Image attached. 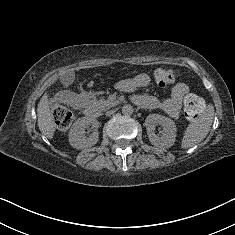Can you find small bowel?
<instances>
[{
	"label": "small bowel",
	"instance_id": "1",
	"mask_svg": "<svg viewBox=\"0 0 235 235\" xmlns=\"http://www.w3.org/2000/svg\"><path fill=\"white\" fill-rule=\"evenodd\" d=\"M149 78L142 74L132 81H123L119 84L121 88H141L147 85ZM188 93V87L183 83H177L171 90L170 95L165 99H159L149 95H135L133 102L142 108L164 111L170 118L177 119L183 98Z\"/></svg>",
	"mask_w": 235,
	"mask_h": 235
}]
</instances>
